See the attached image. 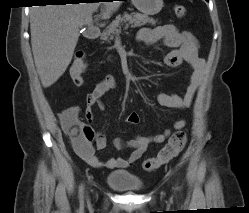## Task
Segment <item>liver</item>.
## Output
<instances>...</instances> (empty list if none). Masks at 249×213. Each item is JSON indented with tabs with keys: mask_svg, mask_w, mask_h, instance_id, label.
Returning <instances> with one entry per match:
<instances>
[{
	"mask_svg": "<svg viewBox=\"0 0 249 213\" xmlns=\"http://www.w3.org/2000/svg\"><path fill=\"white\" fill-rule=\"evenodd\" d=\"M101 2L33 6L30 10L31 45L42 86L54 84L69 66L79 38V28ZM103 18L120 7L119 1L102 2Z\"/></svg>",
	"mask_w": 249,
	"mask_h": 213,
	"instance_id": "obj_1",
	"label": "liver"
}]
</instances>
